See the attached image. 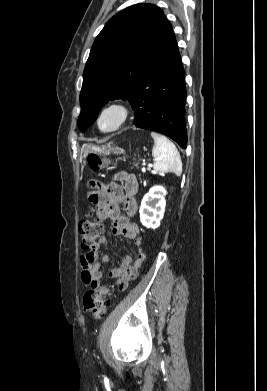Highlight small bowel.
Instances as JSON below:
<instances>
[{"label": "small bowel", "instance_id": "small-bowel-1", "mask_svg": "<svg viewBox=\"0 0 267 391\" xmlns=\"http://www.w3.org/2000/svg\"><path fill=\"white\" fill-rule=\"evenodd\" d=\"M117 180L118 183L100 186L98 190L91 192L89 200L96 206L98 218L111 221L114 235L124 236L134 241L138 246V252L134 259L128 254L123 255L120 265L110 269L106 277L107 280H112L119 290H124L128 286V282L137 276L138 269L146 256L141 248L140 228L130 220V217L134 216L138 209L135 199L138 192L137 180L135 176L126 172L119 173ZM121 206L124 213L121 211ZM106 241V237H100L94 248L80 257L82 281L93 289L99 286L103 278L102 264L109 261L108 256L99 257L98 255L100 245Z\"/></svg>", "mask_w": 267, "mask_h": 391}]
</instances>
